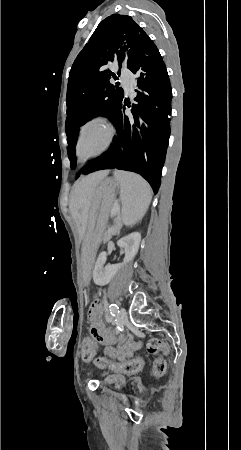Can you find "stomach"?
Instances as JSON below:
<instances>
[{"label":"stomach","instance_id":"stomach-1","mask_svg":"<svg viewBox=\"0 0 241 450\" xmlns=\"http://www.w3.org/2000/svg\"><path fill=\"white\" fill-rule=\"evenodd\" d=\"M118 182L112 178L100 181L94 193L86 235L81 248V279L83 285L90 280L94 259L106 229L108 215L116 199Z\"/></svg>","mask_w":241,"mask_h":450}]
</instances>
